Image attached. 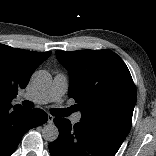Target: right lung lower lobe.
I'll list each match as a JSON object with an SVG mask.
<instances>
[{"instance_id":"98d812e1","label":"right lung lower lobe","mask_w":156,"mask_h":156,"mask_svg":"<svg viewBox=\"0 0 156 156\" xmlns=\"http://www.w3.org/2000/svg\"><path fill=\"white\" fill-rule=\"evenodd\" d=\"M48 116L41 109L28 110L14 106V110L0 108V156H10L21 137L31 128L47 122Z\"/></svg>"}]
</instances>
